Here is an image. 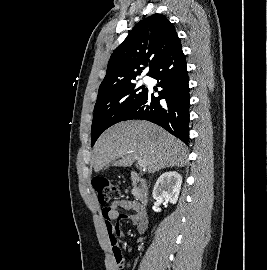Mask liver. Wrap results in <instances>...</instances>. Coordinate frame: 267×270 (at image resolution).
I'll return each mask as SVG.
<instances>
[{
    "label": "liver",
    "mask_w": 267,
    "mask_h": 270,
    "mask_svg": "<svg viewBox=\"0 0 267 270\" xmlns=\"http://www.w3.org/2000/svg\"><path fill=\"white\" fill-rule=\"evenodd\" d=\"M136 157L145 162L149 173L166 167H183L187 162L186 145L163 128L147 121H123L107 129L94 146L95 172L112 164L131 166Z\"/></svg>",
    "instance_id": "6515ba94"
}]
</instances>
